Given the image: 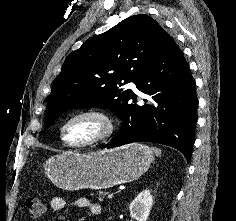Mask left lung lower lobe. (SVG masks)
<instances>
[{
    "mask_svg": "<svg viewBox=\"0 0 236 221\" xmlns=\"http://www.w3.org/2000/svg\"><path fill=\"white\" fill-rule=\"evenodd\" d=\"M135 84L138 90L150 96L151 102L139 106L133 93L121 118L120 133L107 148L135 141L156 142L178 149L189 162L198 99L183 52L170 35L165 36Z\"/></svg>",
    "mask_w": 236,
    "mask_h": 221,
    "instance_id": "left-lung-lower-lobe-1",
    "label": "left lung lower lobe"
}]
</instances>
